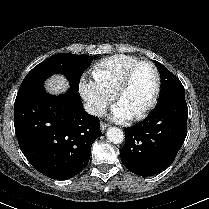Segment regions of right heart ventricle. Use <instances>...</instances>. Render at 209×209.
Masks as SVG:
<instances>
[{
	"instance_id": "1",
	"label": "right heart ventricle",
	"mask_w": 209,
	"mask_h": 209,
	"mask_svg": "<svg viewBox=\"0 0 209 209\" xmlns=\"http://www.w3.org/2000/svg\"><path fill=\"white\" fill-rule=\"evenodd\" d=\"M137 61L138 57L125 54L105 58L93 67V78L107 90L115 93L126 71Z\"/></svg>"
}]
</instances>
